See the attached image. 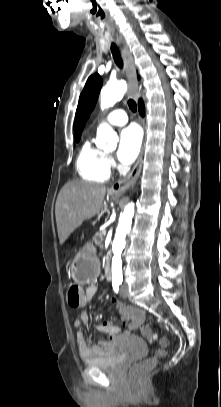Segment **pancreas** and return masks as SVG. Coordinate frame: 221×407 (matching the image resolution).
<instances>
[{
	"mask_svg": "<svg viewBox=\"0 0 221 407\" xmlns=\"http://www.w3.org/2000/svg\"><path fill=\"white\" fill-rule=\"evenodd\" d=\"M104 230L98 232L96 236L94 237V242L97 246L103 247V241H104Z\"/></svg>",
	"mask_w": 221,
	"mask_h": 407,
	"instance_id": "cf45deb5",
	"label": "pancreas"
}]
</instances>
